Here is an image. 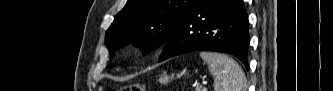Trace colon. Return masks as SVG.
<instances>
[{
  "instance_id": "colon-1",
  "label": "colon",
  "mask_w": 333,
  "mask_h": 91,
  "mask_svg": "<svg viewBox=\"0 0 333 91\" xmlns=\"http://www.w3.org/2000/svg\"><path fill=\"white\" fill-rule=\"evenodd\" d=\"M120 91H143L144 88L139 85V84H132V85H127V86H122Z\"/></svg>"
}]
</instances>
